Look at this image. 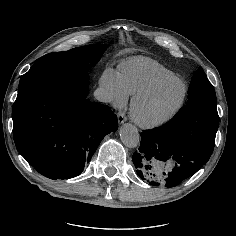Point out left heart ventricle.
<instances>
[{"label": "left heart ventricle", "instance_id": "b2bd125f", "mask_svg": "<svg viewBox=\"0 0 236 236\" xmlns=\"http://www.w3.org/2000/svg\"><path fill=\"white\" fill-rule=\"evenodd\" d=\"M183 92L180 82L165 84L138 104V113L147 120H154L168 113L179 101Z\"/></svg>", "mask_w": 236, "mask_h": 236}]
</instances>
